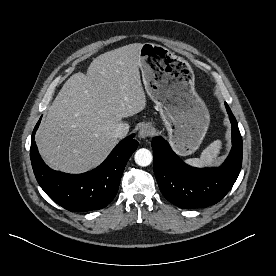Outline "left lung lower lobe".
Wrapping results in <instances>:
<instances>
[{"label": "left lung lower lobe", "instance_id": "left-lung-lower-lobe-1", "mask_svg": "<svg viewBox=\"0 0 276 276\" xmlns=\"http://www.w3.org/2000/svg\"><path fill=\"white\" fill-rule=\"evenodd\" d=\"M232 124V149L219 168H194L181 161L162 138L152 140L153 168L160 191L180 208H202L219 202L234 185L242 165L243 145L237 121L225 103Z\"/></svg>", "mask_w": 276, "mask_h": 276}]
</instances>
